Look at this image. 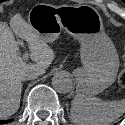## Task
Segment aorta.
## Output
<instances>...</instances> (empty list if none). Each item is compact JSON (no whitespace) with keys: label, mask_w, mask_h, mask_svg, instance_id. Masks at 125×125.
Masks as SVG:
<instances>
[{"label":"aorta","mask_w":125,"mask_h":125,"mask_svg":"<svg viewBox=\"0 0 125 125\" xmlns=\"http://www.w3.org/2000/svg\"><path fill=\"white\" fill-rule=\"evenodd\" d=\"M53 88L62 94L69 93L73 87L72 79L67 73L59 72L52 78Z\"/></svg>","instance_id":"obj_1"}]
</instances>
